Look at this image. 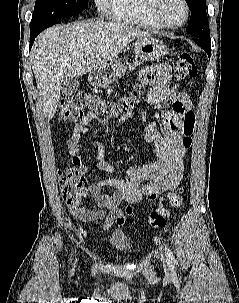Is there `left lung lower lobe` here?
Wrapping results in <instances>:
<instances>
[{
	"label": "left lung lower lobe",
	"mask_w": 239,
	"mask_h": 303,
	"mask_svg": "<svg viewBox=\"0 0 239 303\" xmlns=\"http://www.w3.org/2000/svg\"><path fill=\"white\" fill-rule=\"evenodd\" d=\"M193 41L196 42L201 48H203L210 58L211 55L210 39L193 38Z\"/></svg>",
	"instance_id": "left-lung-lower-lobe-1"
}]
</instances>
